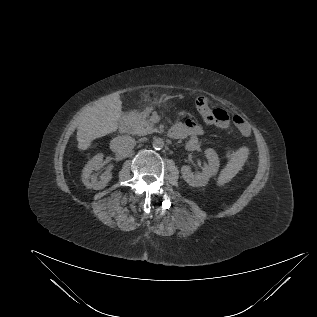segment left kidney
<instances>
[{
	"label": "left kidney",
	"instance_id": "1",
	"mask_svg": "<svg viewBox=\"0 0 317 317\" xmlns=\"http://www.w3.org/2000/svg\"><path fill=\"white\" fill-rule=\"evenodd\" d=\"M205 156L208 163L204 166L201 173L194 174L189 166H182L181 174L183 179L193 187L205 186L209 179L216 175L219 170V158L214 149L208 148L205 150Z\"/></svg>",
	"mask_w": 317,
	"mask_h": 317
}]
</instances>
